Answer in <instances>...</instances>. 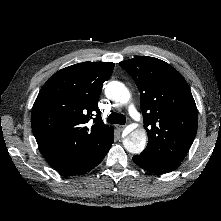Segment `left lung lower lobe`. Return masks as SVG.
Here are the masks:
<instances>
[{
  "label": "left lung lower lobe",
  "instance_id": "1",
  "mask_svg": "<svg viewBox=\"0 0 221 221\" xmlns=\"http://www.w3.org/2000/svg\"><path fill=\"white\" fill-rule=\"evenodd\" d=\"M133 161L139 167L154 172V173H168L175 170L181 162L162 158L156 155L142 152L140 155L134 156Z\"/></svg>",
  "mask_w": 221,
  "mask_h": 221
}]
</instances>
